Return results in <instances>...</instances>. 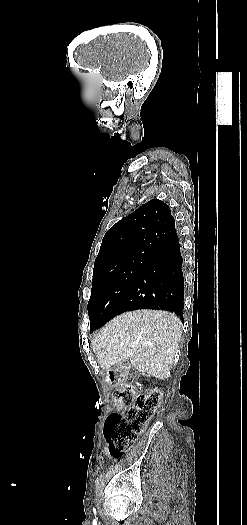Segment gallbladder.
Masks as SVG:
<instances>
[{"label": "gallbladder", "mask_w": 247, "mask_h": 525, "mask_svg": "<svg viewBox=\"0 0 247 525\" xmlns=\"http://www.w3.org/2000/svg\"><path fill=\"white\" fill-rule=\"evenodd\" d=\"M130 372H131L132 374H135V373L137 372V369H136L135 367H132V368L130 369Z\"/></svg>", "instance_id": "obj_1"}]
</instances>
